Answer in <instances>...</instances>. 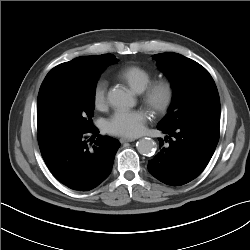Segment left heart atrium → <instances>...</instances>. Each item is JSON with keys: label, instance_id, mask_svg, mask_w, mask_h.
Returning a JSON list of instances; mask_svg holds the SVG:
<instances>
[{"label": "left heart atrium", "instance_id": "obj_1", "mask_svg": "<svg viewBox=\"0 0 250 250\" xmlns=\"http://www.w3.org/2000/svg\"><path fill=\"white\" fill-rule=\"evenodd\" d=\"M148 119L145 110H117L106 121V129L114 135L135 138L143 133Z\"/></svg>", "mask_w": 250, "mask_h": 250}]
</instances>
